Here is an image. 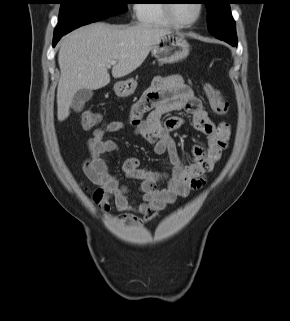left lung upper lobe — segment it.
Returning a JSON list of instances; mask_svg holds the SVG:
<instances>
[{
  "label": "left lung upper lobe",
  "mask_w": 290,
  "mask_h": 321,
  "mask_svg": "<svg viewBox=\"0 0 290 321\" xmlns=\"http://www.w3.org/2000/svg\"><path fill=\"white\" fill-rule=\"evenodd\" d=\"M208 13V28L214 36L236 33L235 21L232 17L231 0H203Z\"/></svg>",
  "instance_id": "1"
}]
</instances>
